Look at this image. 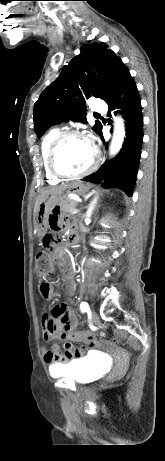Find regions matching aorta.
Wrapping results in <instances>:
<instances>
[{"label":"aorta","mask_w":165,"mask_h":461,"mask_svg":"<svg viewBox=\"0 0 165 461\" xmlns=\"http://www.w3.org/2000/svg\"><path fill=\"white\" fill-rule=\"evenodd\" d=\"M124 137H125V127H124V122L123 120L119 117L115 121V129H114V134L112 138V143L110 147V155L114 156L119 152L121 149L123 142H124ZM95 203V202H94ZM93 206H91L87 212V221H89V217L91 216Z\"/></svg>","instance_id":"aorta-1"}]
</instances>
